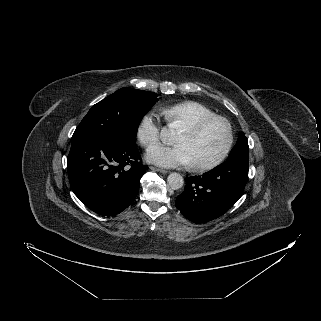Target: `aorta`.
Returning a JSON list of instances; mask_svg holds the SVG:
<instances>
[{"label": "aorta", "mask_w": 321, "mask_h": 321, "mask_svg": "<svg viewBox=\"0 0 321 321\" xmlns=\"http://www.w3.org/2000/svg\"><path fill=\"white\" fill-rule=\"evenodd\" d=\"M162 135L164 137H168L169 136L168 130L164 128L162 130ZM167 181H168V185L174 190L180 189L184 185L183 177L179 173H176V172L170 173L167 178Z\"/></svg>", "instance_id": "762f6f07"}]
</instances>
